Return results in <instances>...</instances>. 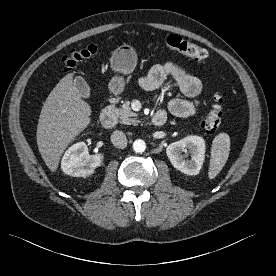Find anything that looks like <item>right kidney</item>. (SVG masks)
<instances>
[{
    "mask_svg": "<svg viewBox=\"0 0 276 276\" xmlns=\"http://www.w3.org/2000/svg\"><path fill=\"white\" fill-rule=\"evenodd\" d=\"M103 154L88 156V147L84 142H78L65 152L61 168L65 174L74 177H88L95 172L103 160Z\"/></svg>",
    "mask_w": 276,
    "mask_h": 276,
    "instance_id": "ca27d5eb",
    "label": "right kidney"
}]
</instances>
